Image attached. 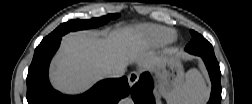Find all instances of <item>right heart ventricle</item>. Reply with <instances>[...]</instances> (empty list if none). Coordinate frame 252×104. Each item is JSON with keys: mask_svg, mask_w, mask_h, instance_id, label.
Listing matches in <instances>:
<instances>
[{"mask_svg": "<svg viewBox=\"0 0 252 104\" xmlns=\"http://www.w3.org/2000/svg\"><path fill=\"white\" fill-rule=\"evenodd\" d=\"M144 36L157 44H165L174 40L176 33L173 29L149 26L142 29Z\"/></svg>", "mask_w": 252, "mask_h": 104, "instance_id": "1", "label": "right heart ventricle"}]
</instances>
